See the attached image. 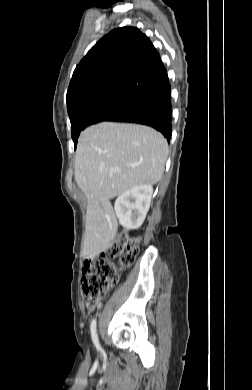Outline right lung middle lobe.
<instances>
[{
    "mask_svg": "<svg viewBox=\"0 0 252 390\" xmlns=\"http://www.w3.org/2000/svg\"><path fill=\"white\" fill-rule=\"evenodd\" d=\"M134 99V97L129 96L101 97L80 105L68 113L75 147L83 129L89 125L106 121L109 117L128 107Z\"/></svg>",
    "mask_w": 252,
    "mask_h": 390,
    "instance_id": "1",
    "label": "right lung middle lobe"
}]
</instances>
